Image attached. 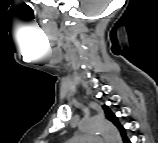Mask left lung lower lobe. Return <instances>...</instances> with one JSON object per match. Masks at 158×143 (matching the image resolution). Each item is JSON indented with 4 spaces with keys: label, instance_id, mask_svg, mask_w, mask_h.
<instances>
[{
    "label": "left lung lower lobe",
    "instance_id": "1",
    "mask_svg": "<svg viewBox=\"0 0 158 143\" xmlns=\"http://www.w3.org/2000/svg\"><path fill=\"white\" fill-rule=\"evenodd\" d=\"M122 137H123L124 143H131L129 139L126 137V134H123Z\"/></svg>",
    "mask_w": 158,
    "mask_h": 143
}]
</instances>
